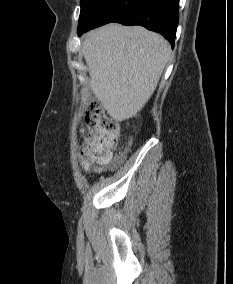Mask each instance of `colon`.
Listing matches in <instances>:
<instances>
[{"label":"colon","mask_w":233,"mask_h":284,"mask_svg":"<svg viewBox=\"0 0 233 284\" xmlns=\"http://www.w3.org/2000/svg\"><path fill=\"white\" fill-rule=\"evenodd\" d=\"M88 132L84 138L82 160L92 164H107L116 146L117 126L98 104H91L86 110Z\"/></svg>","instance_id":"1"}]
</instances>
